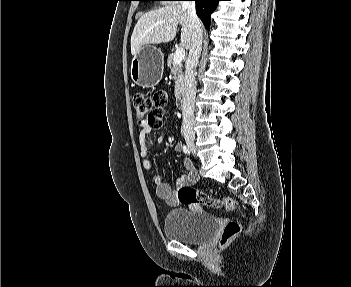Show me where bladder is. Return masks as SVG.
Wrapping results in <instances>:
<instances>
[{
    "label": "bladder",
    "mask_w": 351,
    "mask_h": 287,
    "mask_svg": "<svg viewBox=\"0 0 351 287\" xmlns=\"http://www.w3.org/2000/svg\"><path fill=\"white\" fill-rule=\"evenodd\" d=\"M217 226L218 219L212 213L200 215L199 211L181 208L167 213L164 234L168 239L196 245L210 239Z\"/></svg>",
    "instance_id": "obj_1"
}]
</instances>
